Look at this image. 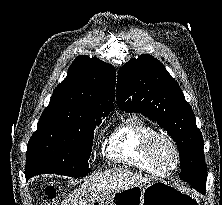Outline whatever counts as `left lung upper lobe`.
<instances>
[{
  "label": "left lung upper lobe",
  "instance_id": "obj_1",
  "mask_svg": "<svg viewBox=\"0 0 222 205\" xmlns=\"http://www.w3.org/2000/svg\"><path fill=\"white\" fill-rule=\"evenodd\" d=\"M117 105L125 112H138L157 121L176 142L180 156L198 161L199 168L188 175L206 186L204 142L189 103L164 65L151 55L133 58L119 69ZM182 170L180 179L185 180Z\"/></svg>",
  "mask_w": 222,
  "mask_h": 205
}]
</instances>
